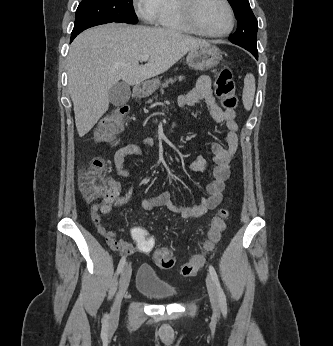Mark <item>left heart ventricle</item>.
Instances as JSON below:
<instances>
[{
  "label": "left heart ventricle",
  "mask_w": 333,
  "mask_h": 346,
  "mask_svg": "<svg viewBox=\"0 0 333 346\" xmlns=\"http://www.w3.org/2000/svg\"><path fill=\"white\" fill-rule=\"evenodd\" d=\"M196 17L204 30L211 33L224 31L229 25V15L221 0H199Z\"/></svg>",
  "instance_id": "obj_1"
}]
</instances>
